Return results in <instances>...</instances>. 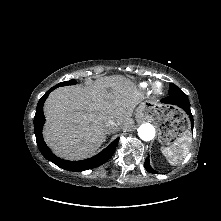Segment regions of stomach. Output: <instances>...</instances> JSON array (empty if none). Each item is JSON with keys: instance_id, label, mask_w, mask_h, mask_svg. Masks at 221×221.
<instances>
[{"instance_id": "1", "label": "stomach", "mask_w": 221, "mask_h": 221, "mask_svg": "<svg viewBox=\"0 0 221 221\" xmlns=\"http://www.w3.org/2000/svg\"><path fill=\"white\" fill-rule=\"evenodd\" d=\"M139 120L154 121L158 126L159 142L170 145L188 132L185 114L175 106L164 105L157 100L142 102L136 111Z\"/></svg>"}]
</instances>
